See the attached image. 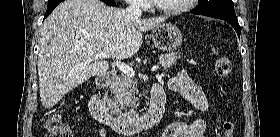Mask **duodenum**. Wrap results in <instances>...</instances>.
Here are the masks:
<instances>
[{
	"mask_svg": "<svg viewBox=\"0 0 280 137\" xmlns=\"http://www.w3.org/2000/svg\"><path fill=\"white\" fill-rule=\"evenodd\" d=\"M115 74L105 76L91 95L88 107L95 120L110 127L112 130L133 134L157 125L164 113L165 93L160 84H154L151 88L150 106L142 116L129 120L113 118L105 108L106 90L115 84Z\"/></svg>",
	"mask_w": 280,
	"mask_h": 137,
	"instance_id": "410a0bca",
	"label": "duodenum"
}]
</instances>
